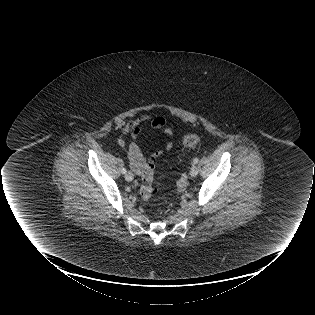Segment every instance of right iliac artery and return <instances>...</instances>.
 Instances as JSON below:
<instances>
[{
    "label": "right iliac artery",
    "mask_w": 315,
    "mask_h": 315,
    "mask_svg": "<svg viewBox=\"0 0 315 315\" xmlns=\"http://www.w3.org/2000/svg\"><path fill=\"white\" fill-rule=\"evenodd\" d=\"M122 173H123V174L126 173V168H122Z\"/></svg>",
    "instance_id": "82829eb1"
}]
</instances>
